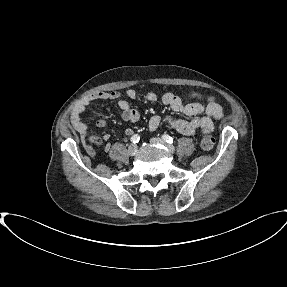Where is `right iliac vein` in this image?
<instances>
[{"mask_svg":"<svg viewBox=\"0 0 287 287\" xmlns=\"http://www.w3.org/2000/svg\"><path fill=\"white\" fill-rule=\"evenodd\" d=\"M136 153H137V145L131 144V145L128 147V154H129L130 156H134Z\"/></svg>","mask_w":287,"mask_h":287,"instance_id":"obj_1","label":"right iliac vein"}]
</instances>
